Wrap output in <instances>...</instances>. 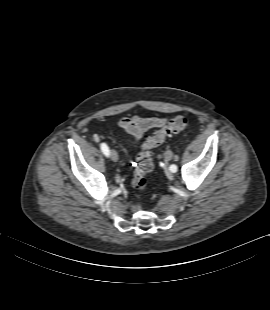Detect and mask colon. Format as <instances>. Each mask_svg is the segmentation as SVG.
<instances>
[{
  "mask_svg": "<svg viewBox=\"0 0 270 310\" xmlns=\"http://www.w3.org/2000/svg\"><path fill=\"white\" fill-rule=\"evenodd\" d=\"M188 120L184 116L172 118L164 127L147 139L135 157L132 186L137 190H144L147 186V175L153 170L151 150L161 145L167 136L186 129Z\"/></svg>",
  "mask_w": 270,
  "mask_h": 310,
  "instance_id": "obj_1",
  "label": "colon"
}]
</instances>
